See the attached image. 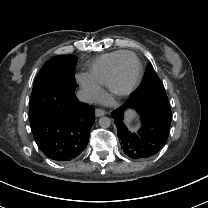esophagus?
I'll return each mask as SVG.
<instances>
[{
  "label": "esophagus",
  "instance_id": "esophagus-1",
  "mask_svg": "<svg viewBox=\"0 0 208 208\" xmlns=\"http://www.w3.org/2000/svg\"><path fill=\"white\" fill-rule=\"evenodd\" d=\"M105 114H106V111H104L103 109H96V110H95V115H96L97 117L103 116V115H105Z\"/></svg>",
  "mask_w": 208,
  "mask_h": 208
}]
</instances>
